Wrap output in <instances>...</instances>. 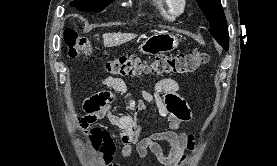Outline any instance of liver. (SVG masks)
I'll list each match as a JSON object with an SVG mask.
<instances>
[{"label": "liver", "instance_id": "obj_1", "mask_svg": "<svg viewBox=\"0 0 277 166\" xmlns=\"http://www.w3.org/2000/svg\"><path fill=\"white\" fill-rule=\"evenodd\" d=\"M137 35L132 33H105L103 43L105 47H114L134 39Z\"/></svg>", "mask_w": 277, "mask_h": 166}]
</instances>
